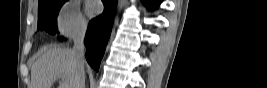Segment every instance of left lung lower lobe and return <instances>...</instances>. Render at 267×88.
Returning a JSON list of instances; mask_svg holds the SVG:
<instances>
[{
  "label": "left lung lower lobe",
  "mask_w": 267,
  "mask_h": 88,
  "mask_svg": "<svg viewBox=\"0 0 267 88\" xmlns=\"http://www.w3.org/2000/svg\"><path fill=\"white\" fill-rule=\"evenodd\" d=\"M144 2L150 9H154L159 6L161 1L160 0H145Z\"/></svg>",
  "instance_id": "0a47b994"
}]
</instances>
